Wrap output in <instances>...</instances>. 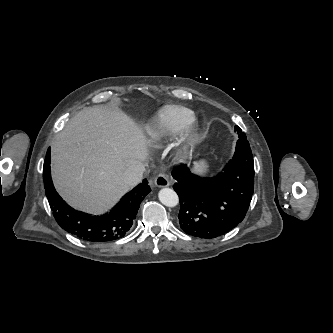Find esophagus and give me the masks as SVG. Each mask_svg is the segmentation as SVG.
Segmentation results:
<instances>
[{
    "label": "esophagus",
    "mask_w": 333,
    "mask_h": 333,
    "mask_svg": "<svg viewBox=\"0 0 333 333\" xmlns=\"http://www.w3.org/2000/svg\"><path fill=\"white\" fill-rule=\"evenodd\" d=\"M154 183L157 187H168L170 186V182L166 175L164 174H159L155 179Z\"/></svg>",
    "instance_id": "esophagus-1"
}]
</instances>
